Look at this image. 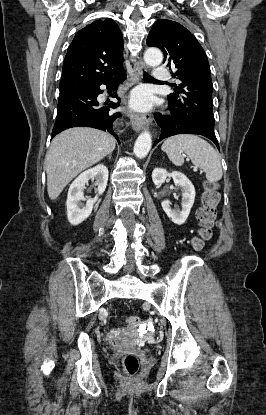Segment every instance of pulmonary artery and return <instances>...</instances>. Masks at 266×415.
Here are the masks:
<instances>
[{"label": "pulmonary artery", "mask_w": 266, "mask_h": 415, "mask_svg": "<svg viewBox=\"0 0 266 415\" xmlns=\"http://www.w3.org/2000/svg\"><path fill=\"white\" fill-rule=\"evenodd\" d=\"M153 77L156 80L167 81L169 79V73L165 67L157 66L153 71Z\"/></svg>", "instance_id": "obj_1"}]
</instances>
